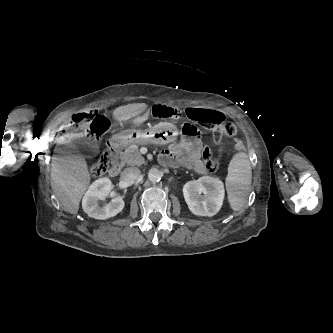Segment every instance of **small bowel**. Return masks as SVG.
Listing matches in <instances>:
<instances>
[{"label": "small bowel", "instance_id": "c3829d8e", "mask_svg": "<svg viewBox=\"0 0 333 333\" xmlns=\"http://www.w3.org/2000/svg\"><path fill=\"white\" fill-rule=\"evenodd\" d=\"M201 112V120L205 124H212L224 121V114L217 110L212 109H197ZM147 115L142 113L137 118H133L129 121L131 126L141 124ZM201 142L197 137H185L180 142L170 145V147L163 151V162H174L187 169L196 171L198 173L206 172L204 163L201 159Z\"/></svg>", "mask_w": 333, "mask_h": 333}]
</instances>
